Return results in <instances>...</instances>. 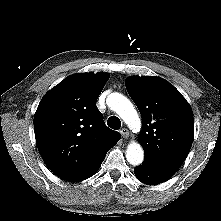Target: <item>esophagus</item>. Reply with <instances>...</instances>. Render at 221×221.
Here are the masks:
<instances>
[{
	"label": "esophagus",
	"mask_w": 221,
	"mask_h": 221,
	"mask_svg": "<svg viewBox=\"0 0 221 221\" xmlns=\"http://www.w3.org/2000/svg\"><path fill=\"white\" fill-rule=\"evenodd\" d=\"M120 133L124 139H127L129 137V130L127 128H122L120 130Z\"/></svg>",
	"instance_id": "1"
}]
</instances>
